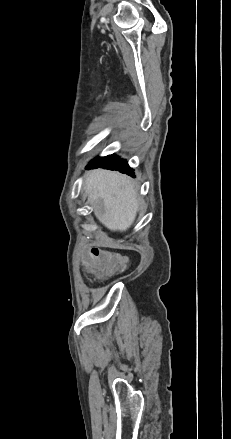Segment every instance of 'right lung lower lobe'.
<instances>
[{
    "instance_id": "1",
    "label": "right lung lower lobe",
    "mask_w": 231,
    "mask_h": 439,
    "mask_svg": "<svg viewBox=\"0 0 231 439\" xmlns=\"http://www.w3.org/2000/svg\"><path fill=\"white\" fill-rule=\"evenodd\" d=\"M97 167L118 170L122 173L134 176L133 169L129 167L126 160L118 158L115 154L94 159L87 165L86 169Z\"/></svg>"
}]
</instances>
